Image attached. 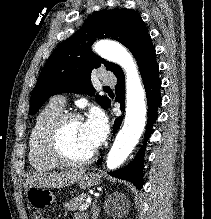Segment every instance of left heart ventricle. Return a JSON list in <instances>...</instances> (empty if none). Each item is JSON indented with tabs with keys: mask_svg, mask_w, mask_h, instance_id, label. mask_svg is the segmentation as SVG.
I'll list each match as a JSON object with an SVG mask.
<instances>
[{
	"mask_svg": "<svg viewBox=\"0 0 211 219\" xmlns=\"http://www.w3.org/2000/svg\"><path fill=\"white\" fill-rule=\"evenodd\" d=\"M62 144L66 153L77 159H83L94 151L84 132L82 120L68 123L62 136Z\"/></svg>",
	"mask_w": 211,
	"mask_h": 219,
	"instance_id": "obj_1",
	"label": "left heart ventricle"
}]
</instances>
